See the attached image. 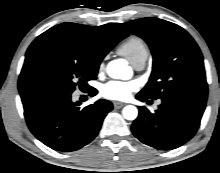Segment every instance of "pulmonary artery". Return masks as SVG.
Listing matches in <instances>:
<instances>
[{"instance_id":"e3ab8cb5","label":"pulmonary artery","mask_w":220,"mask_h":173,"mask_svg":"<svg viewBox=\"0 0 220 173\" xmlns=\"http://www.w3.org/2000/svg\"><path fill=\"white\" fill-rule=\"evenodd\" d=\"M146 60H147V58H139L132 65L136 70H141L144 68V66L146 64ZM159 104H160V102L157 103V105H159Z\"/></svg>"}]
</instances>
